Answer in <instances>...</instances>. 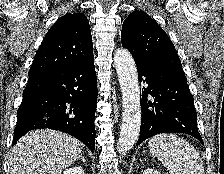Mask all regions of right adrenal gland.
<instances>
[{
    "instance_id": "right-adrenal-gland-1",
    "label": "right adrenal gland",
    "mask_w": 224,
    "mask_h": 174,
    "mask_svg": "<svg viewBox=\"0 0 224 174\" xmlns=\"http://www.w3.org/2000/svg\"><path fill=\"white\" fill-rule=\"evenodd\" d=\"M79 159L82 160L85 163V158L82 155L79 157Z\"/></svg>"
}]
</instances>
